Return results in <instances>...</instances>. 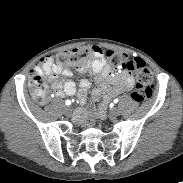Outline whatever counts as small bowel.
<instances>
[{
    "instance_id": "small-bowel-1",
    "label": "small bowel",
    "mask_w": 183,
    "mask_h": 183,
    "mask_svg": "<svg viewBox=\"0 0 183 183\" xmlns=\"http://www.w3.org/2000/svg\"><path fill=\"white\" fill-rule=\"evenodd\" d=\"M93 51V60L87 67H78L77 72H91L95 75V80L98 86L94 89V97H99L101 94H107V90L113 84H120L124 87L125 91H130L134 87V77L131 71H123L122 73H113L108 66L104 57L103 51L98 46L91 47ZM45 74L50 76V83L55 89L58 96L73 95L76 93V85L73 81L68 80L64 84L58 81L59 75L71 76L72 71L69 68H63L54 63L51 58L47 59L43 67ZM91 87V82L88 79H82L77 93L78 100L81 104L86 101L87 91ZM111 98V97H109Z\"/></svg>"
}]
</instances>
